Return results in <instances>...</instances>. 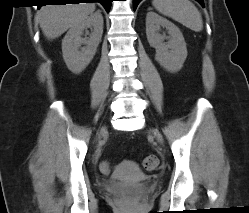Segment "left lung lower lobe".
<instances>
[{
    "label": "left lung lower lobe",
    "instance_id": "obj_1",
    "mask_svg": "<svg viewBox=\"0 0 249 213\" xmlns=\"http://www.w3.org/2000/svg\"><path fill=\"white\" fill-rule=\"evenodd\" d=\"M140 1L141 0H134L133 1V8H134V10L136 9V7H137V5L139 4ZM196 1H198L202 6H204L203 0H196Z\"/></svg>",
    "mask_w": 249,
    "mask_h": 213
}]
</instances>
